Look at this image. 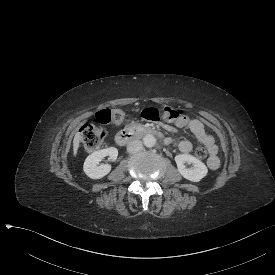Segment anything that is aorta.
<instances>
[{
    "instance_id": "obj_1",
    "label": "aorta",
    "mask_w": 275,
    "mask_h": 275,
    "mask_svg": "<svg viewBox=\"0 0 275 275\" xmlns=\"http://www.w3.org/2000/svg\"><path fill=\"white\" fill-rule=\"evenodd\" d=\"M143 144L146 147H153L156 144V138L151 134L145 135L143 138Z\"/></svg>"
}]
</instances>
